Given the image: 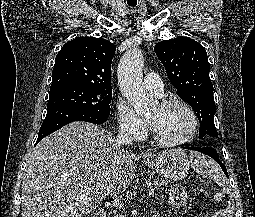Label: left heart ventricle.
I'll use <instances>...</instances> for the list:
<instances>
[{"mask_svg": "<svg viewBox=\"0 0 255 217\" xmlns=\"http://www.w3.org/2000/svg\"><path fill=\"white\" fill-rule=\"evenodd\" d=\"M153 131L164 139L184 137L191 128V117L181 105L161 107L156 105L147 115Z\"/></svg>", "mask_w": 255, "mask_h": 217, "instance_id": "1", "label": "left heart ventricle"}]
</instances>
